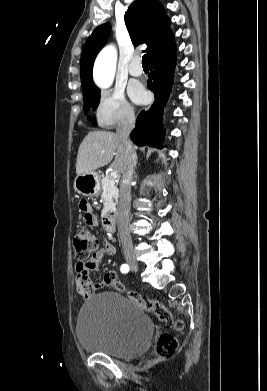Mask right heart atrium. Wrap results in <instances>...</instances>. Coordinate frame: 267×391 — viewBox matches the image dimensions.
Wrapping results in <instances>:
<instances>
[{"instance_id":"1","label":"right heart atrium","mask_w":267,"mask_h":391,"mask_svg":"<svg viewBox=\"0 0 267 391\" xmlns=\"http://www.w3.org/2000/svg\"><path fill=\"white\" fill-rule=\"evenodd\" d=\"M94 115L97 124L103 128L130 124L135 119L133 106L120 90H105L101 93Z\"/></svg>"}]
</instances>
